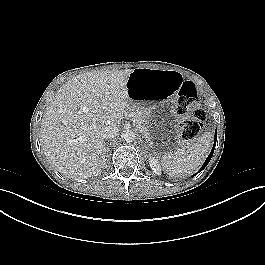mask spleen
Listing matches in <instances>:
<instances>
[{"label":"spleen","instance_id":"3e777b00","mask_svg":"<svg viewBox=\"0 0 265 265\" xmlns=\"http://www.w3.org/2000/svg\"><path fill=\"white\" fill-rule=\"evenodd\" d=\"M211 133H204L187 150L162 157L163 169L172 177H182L193 173L203 163L210 150Z\"/></svg>","mask_w":265,"mask_h":265}]
</instances>
